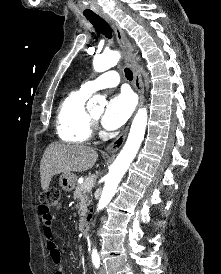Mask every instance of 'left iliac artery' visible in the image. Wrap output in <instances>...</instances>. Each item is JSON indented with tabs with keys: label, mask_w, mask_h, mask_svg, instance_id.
I'll list each match as a JSON object with an SVG mask.
<instances>
[{
	"label": "left iliac artery",
	"mask_w": 221,
	"mask_h": 274,
	"mask_svg": "<svg viewBox=\"0 0 221 274\" xmlns=\"http://www.w3.org/2000/svg\"><path fill=\"white\" fill-rule=\"evenodd\" d=\"M92 261H93V264H94L95 268H99V266H100V258H99L98 254L92 255Z\"/></svg>",
	"instance_id": "obj_1"
}]
</instances>
